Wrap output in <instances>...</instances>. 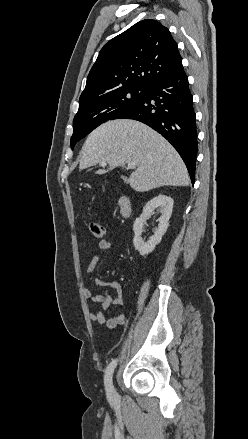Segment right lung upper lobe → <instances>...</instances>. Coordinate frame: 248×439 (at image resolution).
Masks as SVG:
<instances>
[{"label": "right lung upper lobe", "mask_w": 248, "mask_h": 439, "mask_svg": "<svg viewBox=\"0 0 248 439\" xmlns=\"http://www.w3.org/2000/svg\"><path fill=\"white\" fill-rule=\"evenodd\" d=\"M182 66L178 46L161 23L146 19L110 40L87 77L79 105L124 87L147 89Z\"/></svg>", "instance_id": "1"}]
</instances>
